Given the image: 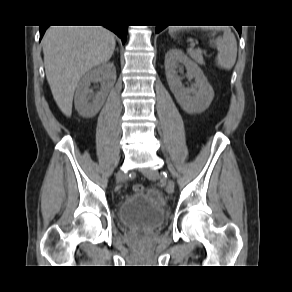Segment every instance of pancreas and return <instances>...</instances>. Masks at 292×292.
Instances as JSON below:
<instances>
[{
	"mask_svg": "<svg viewBox=\"0 0 292 292\" xmlns=\"http://www.w3.org/2000/svg\"><path fill=\"white\" fill-rule=\"evenodd\" d=\"M189 55L199 64L203 65V57L198 51L189 50Z\"/></svg>",
	"mask_w": 292,
	"mask_h": 292,
	"instance_id": "obj_1",
	"label": "pancreas"
}]
</instances>
